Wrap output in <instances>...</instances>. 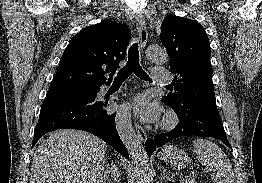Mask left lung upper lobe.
I'll list each match as a JSON object with an SVG mask.
<instances>
[{
	"label": "left lung upper lobe",
	"mask_w": 262,
	"mask_h": 183,
	"mask_svg": "<svg viewBox=\"0 0 262 183\" xmlns=\"http://www.w3.org/2000/svg\"><path fill=\"white\" fill-rule=\"evenodd\" d=\"M160 39L170 57V72L175 74L170 85L172 92L162 101L173 109L216 108L211 49L202 25L191 19L168 16L162 22Z\"/></svg>",
	"instance_id": "5c2ea615"
}]
</instances>
